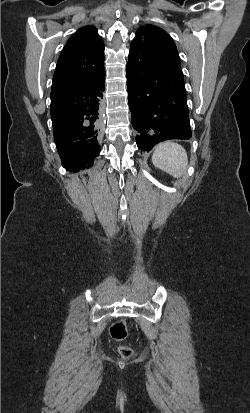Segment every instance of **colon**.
Instances as JSON below:
<instances>
[{"label": "colon", "instance_id": "1", "mask_svg": "<svg viewBox=\"0 0 250 413\" xmlns=\"http://www.w3.org/2000/svg\"><path fill=\"white\" fill-rule=\"evenodd\" d=\"M128 334L126 322L123 320L116 321L110 328L111 338L120 343L118 352L123 359H130L133 356V350L127 345L122 344Z\"/></svg>", "mask_w": 250, "mask_h": 413}]
</instances>
